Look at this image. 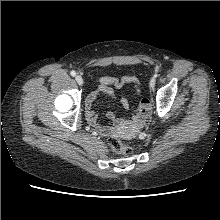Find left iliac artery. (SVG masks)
Masks as SVG:
<instances>
[{"instance_id":"1","label":"left iliac artery","mask_w":220,"mask_h":220,"mask_svg":"<svg viewBox=\"0 0 220 220\" xmlns=\"http://www.w3.org/2000/svg\"><path fill=\"white\" fill-rule=\"evenodd\" d=\"M158 76V74L156 73L155 75H154V77L156 78Z\"/></svg>"}]
</instances>
